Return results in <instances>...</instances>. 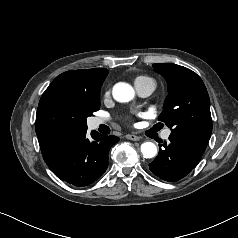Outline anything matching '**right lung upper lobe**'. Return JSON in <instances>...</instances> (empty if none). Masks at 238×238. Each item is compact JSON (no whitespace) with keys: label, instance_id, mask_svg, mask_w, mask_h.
I'll return each instance as SVG.
<instances>
[{"label":"right lung upper lobe","instance_id":"1","mask_svg":"<svg viewBox=\"0 0 238 238\" xmlns=\"http://www.w3.org/2000/svg\"><path fill=\"white\" fill-rule=\"evenodd\" d=\"M105 78L104 69L96 68L67 71L53 80L43 93L37 109L36 134L40 147L77 128L78 99L100 93Z\"/></svg>","mask_w":238,"mask_h":238}]
</instances>
